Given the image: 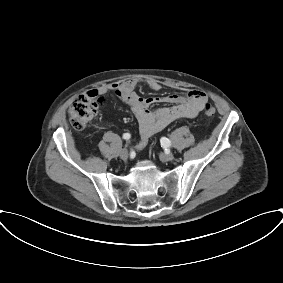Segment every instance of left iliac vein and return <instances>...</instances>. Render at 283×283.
Returning <instances> with one entry per match:
<instances>
[{"mask_svg":"<svg viewBox=\"0 0 283 283\" xmlns=\"http://www.w3.org/2000/svg\"><path fill=\"white\" fill-rule=\"evenodd\" d=\"M173 157H174V155L172 154V153H162V154H160V159L162 160V161H170V160H172L173 159Z\"/></svg>","mask_w":283,"mask_h":283,"instance_id":"1","label":"left iliac vein"}]
</instances>
